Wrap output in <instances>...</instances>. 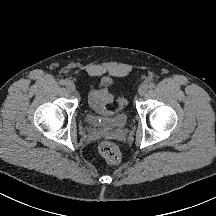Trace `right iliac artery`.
<instances>
[{
  "label": "right iliac artery",
  "mask_w": 216,
  "mask_h": 216,
  "mask_svg": "<svg viewBox=\"0 0 216 216\" xmlns=\"http://www.w3.org/2000/svg\"><path fill=\"white\" fill-rule=\"evenodd\" d=\"M59 84H60V85H65V84H66V81H65L64 79H61V80L59 81Z\"/></svg>",
  "instance_id": "obj_1"
}]
</instances>
